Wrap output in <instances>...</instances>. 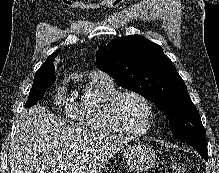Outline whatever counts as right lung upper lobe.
<instances>
[{
  "label": "right lung upper lobe",
  "instance_id": "1",
  "mask_svg": "<svg viewBox=\"0 0 219 173\" xmlns=\"http://www.w3.org/2000/svg\"><path fill=\"white\" fill-rule=\"evenodd\" d=\"M56 56H57L56 52L53 53L52 55H50L47 58V60L45 61V63L40 67V69L37 72H53V71H55L53 61H54Z\"/></svg>",
  "mask_w": 219,
  "mask_h": 173
}]
</instances>
